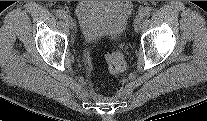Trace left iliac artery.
Segmentation results:
<instances>
[{"mask_svg":"<svg viewBox=\"0 0 207 121\" xmlns=\"http://www.w3.org/2000/svg\"><path fill=\"white\" fill-rule=\"evenodd\" d=\"M152 8L151 7H145L140 11V15L144 16V17H148L150 16V14L152 13Z\"/></svg>","mask_w":207,"mask_h":121,"instance_id":"44dca946","label":"left iliac artery"}]
</instances>
